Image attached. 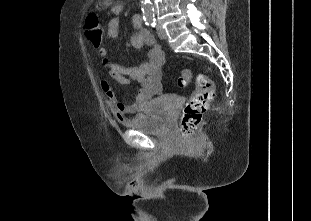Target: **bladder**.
I'll return each mask as SVG.
<instances>
[{
    "label": "bladder",
    "mask_w": 311,
    "mask_h": 221,
    "mask_svg": "<svg viewBox=\"0 0 311 221\" xmlns=\"http://www.w3.org/2000/svg\"><path fill=\"white\" fill-rule=\"evenodd\" d=\"M173 98L156 97L152 101L151 108H145L144 112L138 113L124 122V126L133 130H139L145 135H160L167 132L172 124L170 101Z\"/></svg>",
    "instance_id": "bladder-1"
}]
</instances>
